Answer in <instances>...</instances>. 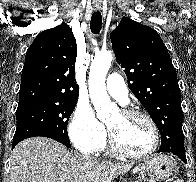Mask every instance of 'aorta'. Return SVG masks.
Returning a JSON list of instances; mask_svg holds the SVG:
<instances>
[{
  "mask_svg": "<svg viewBox=\"0 0 196 182\" xmlns=\"http://www.w3.org/2000/svg\"><path fill=\"white\" fill-rule=\"evenodd\" d=\"M112 59V54L109 51H101L95 54L88 78L91 101L96 110L97 118L103 122L110 120L111 115L118 112V107L110 101L105 85Z\"/></svg>",
  "mask_w": 196,
  "mask_h": 182,
  "instance_id": "762f6f07",
  "label": "aorta"
}]
</instances>
